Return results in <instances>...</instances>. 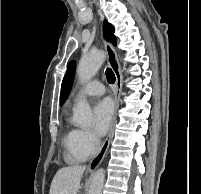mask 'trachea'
Masks as SVG:
<instances>
[{"label":"trachea","mask_w":201,"mask_h":194,"mask_svg":"<svg viewBox=\"0 0 201 194\" xmlns=\"http://www.w3.org/2000/svg\"><path fill=\"white\" fill-rule=\"evenodd\" d=\"M105 75H106L108 83L113 84L115 82V75H114L112 69L107 68Z\"/></svg>","instance_id":"obj_1"}]
</instances>
